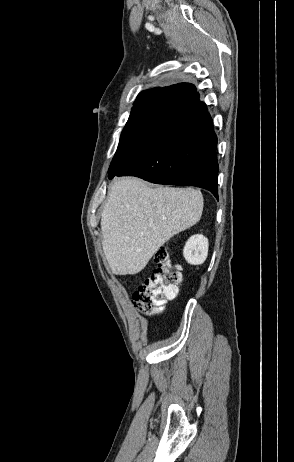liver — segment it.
I'll use <instances>...</instances> for the list:
<instances>
[{"instance_id":"1","label":"liver","mask_w":294,"mask_h":462,"mask_svg":"<svg viewBox=\"0 0 294 462\" xmlns=\"http://www.w3.org/2000/svg\"><path fill=\"white\" fill-rule=\"evenodd\" d=\"M101 215L102 247L112 272L134 275L171 237L195 225L203 196L193 188H150L138 178H118Z\"/></svg>"}]
</instances>
